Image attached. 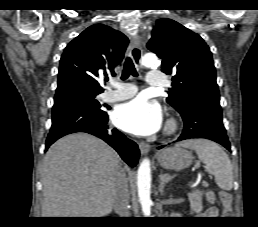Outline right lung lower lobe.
I'll use <instances>...</instances> for the list:
<instances>
[{
	"label": "right lung lower lobe",
	"mask_w": 258,
	"mask_h": 227,
	"mask_svg": "<svg viewBox=\"0 0 258 227\" xmlns=\"http://www.w3.org/2000/svg\"><path fill=\"white\" fill-rule=\"evenodd\" d=\"M74 132H87L103 139L132 167L138 162L137 144L108 125L106 112L96 114L75 105H63L52 109V126L46 140V150L57 139Z\"/></svg>",
	"instance_id": "98d812e1"
}]
</instances>
